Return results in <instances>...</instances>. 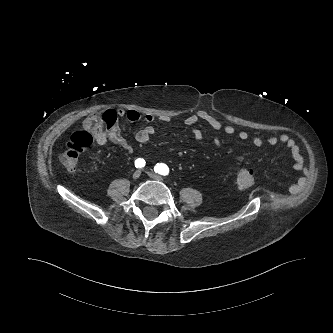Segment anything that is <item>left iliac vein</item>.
<instances>
[{
  "label": "left iliac vein",
  "instance_id": "left-iliac-vein-1",
  "mask_svg": "<svg viewBox=\"0 0 333 333\" xmlns=\"http://www.w3.org/2000/svg\"><path fill=\"white\" fill-rule=\"evenodd\" d=\"M147 174L153 180L160 181V182L164 181L163 178L160 175H158V174H155L153 172H148Z\"/></svg>",
  "mask_w": 333,
  "mask_h": 333
}]
</instances>
